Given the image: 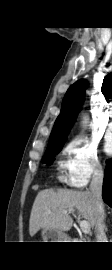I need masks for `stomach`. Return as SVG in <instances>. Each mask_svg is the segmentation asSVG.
Instances as JSON below:
<instances>
[{
    "label": "stomach",
    "mask_w": 112,
    "mask_h": 270,
    "mask_svg": "<svg viewBox=\"0 0 112 270\" xmlns=\"http://www.w3.org/2000/svg\"><path fill=\"white\" fill-rule=\"evenodd\" d=\"M41 235L44 242H67L68 240L67 234L55 229H42Z\"/></svg>",
    "instance_id": "1"
}]
</instances>
